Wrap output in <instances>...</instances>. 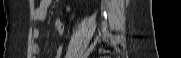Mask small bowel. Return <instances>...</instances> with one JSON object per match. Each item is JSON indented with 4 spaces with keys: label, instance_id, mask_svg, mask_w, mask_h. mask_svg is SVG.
<instances>
[{
    "label": "small bowel",
    "instance_id": "1",
    "mask_svg": "<svg viewBox=\"0 0 181 58\" xmlns=\"http://www.w3.org/2000/svg\"><path fill=\"white\" fill-rule=\"evenodd\" d=\"M51 4V0H41L38 4V6L35 8L33 12V18L37 22H42L46 19L48 8ZM55 29L59 34H62L65 29V23L62 19H58L55 22ZM33 37L37 39L40 35V31L38 28L33 29ZM32 52L34 54H38L40 52V47L37 43H34L32 46ZM58 55L61 53V49L58 48L57 51Z\"/></svg>",
    "mask_w": 181,
    "mask_h": 58
}]
</instances>
